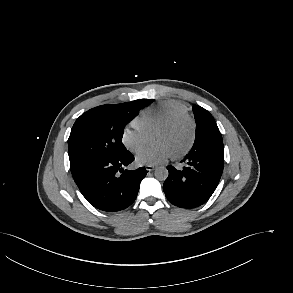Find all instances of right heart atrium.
I'll list each match as a JSON object with an SVG mask.
<instances>
[{
	"mask_svg": "<svg viewBox=\"0 0 293 293\" xmlns=\"http://www.w3.org/2000/svg\"><path fill=\"white\" fill-rule=\"evenodd\" d=\"M147 135L135 125L126 126L121 133V142L132 153H138L147 144Z\"/></svg>",
	"mask_w": 293,
	"mask_h": 293,
	"instance_id": "right-heart-atrium-1",
	"label": "right heart atrium"
}]
</instances>
